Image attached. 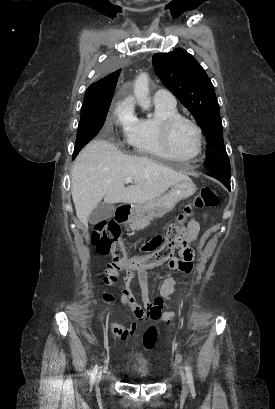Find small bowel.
<instances>
[{
  "instance_id": "obj_1",
  "label": "small bowel",
  "mask_w": 275,
  "mask_h": 409,
  "mask_svg": "<svg viewBox=\"0 0 275 409\" xmlns=\"http://www.w3.org/2000/svg\"><path fill=\"white\" fill-rule=\"evenodd\" d=\"M199 234H200V224L193 220L185 229V238L187 240V245L183 247L179 252V257L174 258L170 263L169 267L172 270L179 271L185 274H189L193 270V259H194V247L197 245L199 241ZM120 270L116 268H111L107 276L102 278V283L105 284L106 288H111L112 286L116 285V278L119 274ZM133 273H125L120 274L119 278L123 279L120 283V286L123 289V294L120 298V301L123 304H126L131 307L134 316L138 321H144L148 319H159L163 318L168 322L173 321L174 313L173 312H165L162 313V303L163 299L170 296L174 291L175 281L172 278L165 279L161 285L159 286V296L154 300L153 304L148 306L142 307L136 300V298L131 294L130 290L128 289V284L131 280L134 279ZM139 279L142 285L146 286L147 284V275L146 271L144 273H139ZM186 288V283H181V289L184 291ZM132 320L131 326L137 327L138 321ZM113 329L117 331L115 334L118 338L123 335L122 324L120 322H115L113 324ZM145 334L143 335V339L141 340V345L145 346L148 351L151 353L153 350L151 349L152 346H159L160 340L157 339V335L154 332V327L152 325H147L145 327ZM133 332L132 331H125L124 335L122 336L123 340H131ZM118 345L116 346L118 349L121 347L119 343L121 342L119 339L115 341Z\"/></svg>"
}]
</instances>
